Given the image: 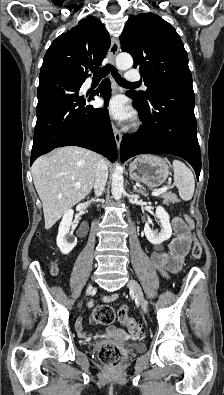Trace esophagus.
<instances>
[{"label": "esophagus", "instance_id": "1", "mask_svg": "<svg viewBox=\"0 0 224 395\" xmlns=\"http://www.w3.org/2000/svg\"><path fill=\"white\" fill-rule=\"evenodd\" d=\"M119 48H120V43H119L118 38L112 37L111 38V46L109 49V59H110V63L112 65L115 64V58H116V55L119 51ZM115 91H116V86H114V92ZM112 128H113V133H114L116 144L119 148L121 145V142H122L121 132L113 122H112Z\"/></svg>", "mask_w": 224, "mask_h": 395}]
</instances>
